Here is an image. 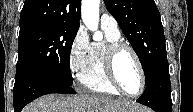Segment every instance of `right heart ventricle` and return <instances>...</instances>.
<instances>
[{"mask_svg": "<svg viewBox=\"0 0 193 112\" xmlns=\"http://www.w3.org/2000/svg\"><path fill=\"white\" fill-rule=\"evenodd\" d=\"M105 40L91 43L86 65L79 75L80 83L93 92L119 96L120 93L110 84L104 69V51L108 43L121 41L120 32L103 28Z\"/></svg>", "mask_w": 193, "mask_h": 112, "instance_id": "1", "label": "right heart ventricle"}]
</instances>
